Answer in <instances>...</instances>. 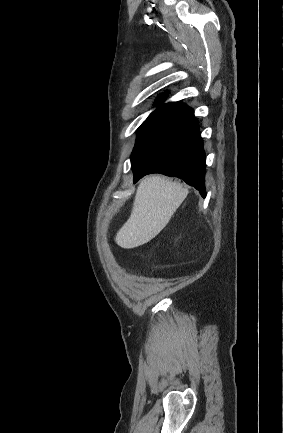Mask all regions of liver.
<instances>
[{
	"label": "liver",
	"mask_w": 283,
	"mask_h": 433,
	"mask_svg": "<svg viewBox=\"0 0 283 433\" xmlns=\"http://www.w3.org/2000/svg\"><path fill=\"white\" fill-rule=\"evenodd\" d=\"M187 194L188 188L164 176H147L141 180L130 217L115 237L117 245L122 249H135L154 239Z\"/></svg>",
	"instance_id": "6515ba94"
}]
</instances>
